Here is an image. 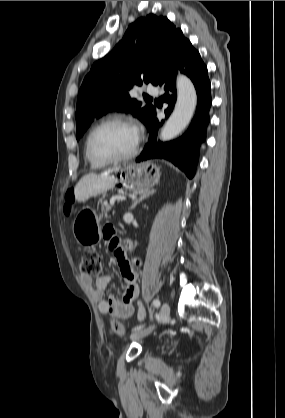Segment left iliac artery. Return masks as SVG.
I'll list each match as a JSON object with an SVG mask.
<instances>
[{
  "instance_id": "44dca946",
  "label": "left iliac artery",
  "mask_w": 285,
  "mask_h": 418,
  "mask_svg": "<svg viewBox=\"0 0 285 418\" xmlns=\"http://www.w3.org/2000/svg\"><path fill=\"white\" fill-rule=\"evenodd\" d=\"M153 306L155 307V308H159V306H160V301H159V299H154L153 300ZM143 326H141V325H139V326H137V327H135L134 328V330L136 331V330H139V329H141Z\"/></svg>"
}]
</instances>
